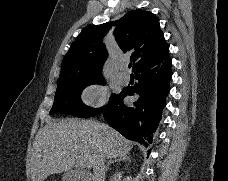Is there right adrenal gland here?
<instances>
[{
  "label": "right adrenal gland",
  "mask_w": 228,
  "mask_h": 181,
  "mask_svg": "<svg viewBox=\"0 0 228 181\" xmlns=\"http://www.w3.org/2000/svg\"><path fill=\"white\" fill-rule=\"evenodd\" d=\"M122 161H130V157H127V155H124V157H114V159H111V161H109V163H107V167L105 169V171H109L111 165H113V163H122Z\"/></svg>",
  "instance_id": "obj_1"
}]
</instances>
